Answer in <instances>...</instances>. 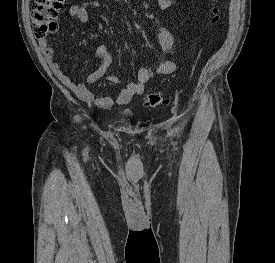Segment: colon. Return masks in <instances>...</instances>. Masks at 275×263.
<instances>
[{
	"label": "colon",
	"mask_w": 275,
	"mask_h": 263,
	"mask_svg": "<svg viewBox=\"0 0 275 263\" xmlns=\"http://www.w3.org/2000/svg\"><path fill=\"white\" fill-rule=\"evenodd\" d=\"M65 0H34L31 21L34 37L40 42L57 30V15ZM215 0L210 9L211 21H220V9ZM169 102V97L163 92H154L145 95L144 103L150 107H157Z\"/></svg>",
	"instance_id": "1"
}]
</instances>
